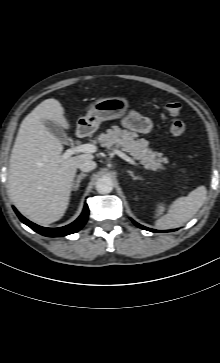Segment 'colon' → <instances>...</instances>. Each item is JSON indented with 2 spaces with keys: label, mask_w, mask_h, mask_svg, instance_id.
I'll list each match as a JSON object with an SVG mask.
<instances>
[{
  "label": "colon",
  "mask_w": 220,
  "mask_h": 363,
  "mask_svg": "<svg viewBox=\"0 0 220 363\" xmlns=\"http://www.w3.org/2000/svg\"><path fill=\"white\" fill-rule=\"evenodd\" d=\"M166 111L171 116L170 130L175 136H182L187 130L184 121L177 118L181 111V104L177 101L168 102L166 104Z\"/></svg>",
  "instance_id": "5ec220e1"
}]
</instances>
